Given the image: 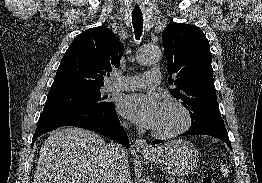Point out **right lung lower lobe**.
I'll list each match as a JSON object with an SVG mask.
<instances>
[{"mask_svg":"<svg viewBox=\"0 0 262 183\" xmlns=\"http://www.w3.org/2000/svg\"><path fill=\"white\" fill-rule=\"evenodd\" d=\"M62 126L89 129L116 140L123 146H130L127 135L124 133L123 127L120 126L114 105L105 109H83L64 106L44 107L32 139V146L40 135Z\"/></svg>","mask_w":262,"mask_h":183,"instance_id":"obj_1","label":"right lung lower lobe"}]
</instances>
